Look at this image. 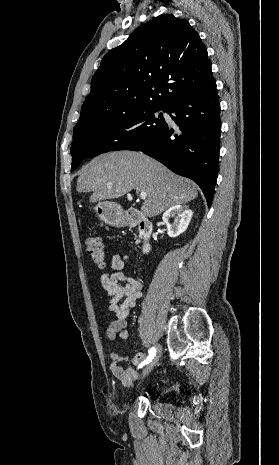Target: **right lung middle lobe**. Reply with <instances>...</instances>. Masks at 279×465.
Segmentation results:
<instances>
[{"label":"right lung middle lobe","mask_w":279,"mask_h":465,"mask_svg":"<svg viewBox=\"0 0 279 465\" xmlns=\"http://www.w3.org/2000/svg\"><path fill=\"white\" fill-rule=\"evenodd\" d=\"M160 108H145L97 126H75L71 145L72 170L82 160L127 146L151 143L166 126ZM165 110V109H164Z\"/></svg>","instance_id":"right-lung-middle-lobe-1"}]
</instances>
